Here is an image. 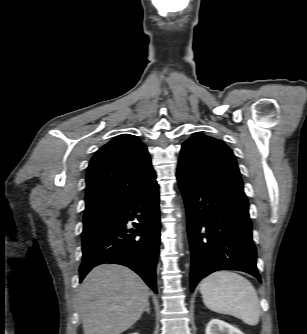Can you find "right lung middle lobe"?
I'll return each instance as SVG.
<instances>
[{"label": "right lung middle lobe", "instance_id": "right-lung-middle-lobe-1", "mask_svg": "<svg viewBox=\"0 0 307 334\" xmlns=\"http://www.w3.org/2000/svg\"><path fill=\"white\" fill-rule=\"evenodd\" d=\"M108 216L109 214H99L84 217L82 236L90 233L93 229L98 227L102 222L107 220Z\"/></svg>", "mask_w": 307, "mask_h": 334}]
</instances>
